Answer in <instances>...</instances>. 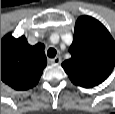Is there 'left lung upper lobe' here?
Instances as JSON below:
<instances>
[{"label":"left lung upper lobe","mask_w":115,"mask_h":114,"mask_svg":"<svg viewBox=\"0 0 115 114\" xmlns=\"http://www.w3.org/2000/svg\"><path fill=\"white\" fill-rule=\"evenodd\" d=\"M69 52L71 58L62 67L78 86L99 85L115 66V41L105 26L90 16L77 19Z\"/></svg>","instance_id":"1"}]
</instances>
